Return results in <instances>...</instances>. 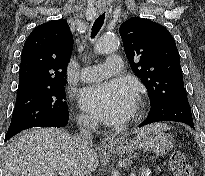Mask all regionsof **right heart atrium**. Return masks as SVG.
<instances>
[{"label": "right heart atrium", "instance_id": "d8ad5b80", "mask_svg": "<svg viewBox=\"0 0 205 176\" xmlns=\"http://www.w3.org/2000/svg\"><path fill=\"white\" fill-rule=\"evenodd\" d=\"M80 121L86 126H92L94 124L93 118L86 114L80 116Z\"/></svg>", "mask_w": 205, "mask_h": 176}]
</instances>
